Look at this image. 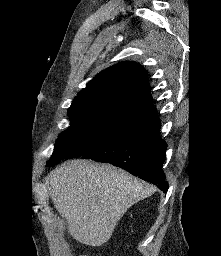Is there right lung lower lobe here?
<instances>
[{"instance_id": "98d812e1", "label": "right lung lower lobe", "mask_w": 221, "mask_h": 256, "mask_svg": "<svg viewBox=\"0 0 221 256\" xmlns=\"http://www.w3.org/2000/svg\"><path fill=\"white\" fill-rule=\"evenodd\" d=\"M159 132L160 120L155 117L106 140L82 157L120 167L166 193L168 183L162 165L167 145Z\"/></svg>"}]
</instances>
